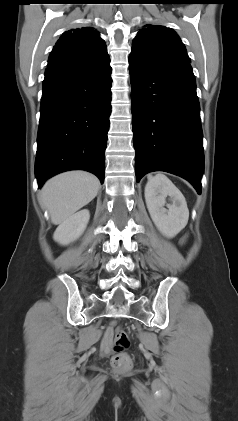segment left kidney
I'll use <instances>...</instances> for the list:
<instances>
[{
	"label": "left kidney",
	"mask_w": 238,
	"mask_h": 421,
	"mask_svg": "<svg viewBox=\"0 0 238 421\" xmlns=\"http://www.w3.org/2000/svg\"><path fill=\"white\" fill-rule=\"evenodd\" d=\"M167 196L171 204H166ZM145 200L154 224L166 237H175L186 226L189 210L185 197L166 176L158 174L148 178Z\"/></svg>",
	"instance_id": "5707ae66"
}]
</instances>
